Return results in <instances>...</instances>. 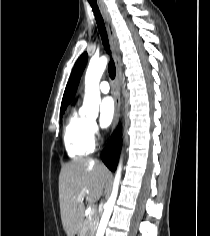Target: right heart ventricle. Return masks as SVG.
Masks as SVG:
<instances>
[{"label":"right heart ventricle","mask_w":210,"mask_h":236,"mask_svg":"<svg viewBox=\"0 0 210 236\" xmlns=\"http://www.w3.org/2000/svg\"><path fill=\"white\" fill-rule=\"evenodd\" d=\"M89 120L73 107L63 128V143L70 158L87 156L94 150L93 138L89 133Z\"/></svg>","instance_id":"e07e8e85"}]
</instances>
